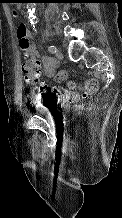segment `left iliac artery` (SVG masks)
Segmentation results:
<instances>
[{
    "mask_svg": "<svg viewBox=\"0 0 122 218\" xmlns=\"http://www.w3.org/2000/svg\"><path fill=\"white\" fill-rule=\"evenodd\" d=\"M48 51H49L50 53H55V51H56L55 46H49V47H48Z\"/></svg>",
    "mask_w": 122,
    "mask_h": 218,
    "instance_id": "left-iliac-artery-1",
    "label": "left iliac artery"
}]
</instances>
